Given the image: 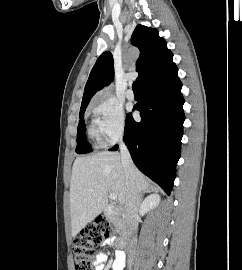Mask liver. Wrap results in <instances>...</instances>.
<instances>
[{
  "mask_svg": "<svg viewBox=\"0 0 242 270\" xmlns=\"http://www.w3.org/2000/svg\"><path fill=\"white\" fill-rule=\"evenodd\" d=\"M133 184L138 193L150 182L134 167ZM129 191L121 156L116 152H98L78 157L73 164L70 183L71 232L75 237L107 206L109 193H115L124 205Z\"/></svg>",
  "mask_w": 242,
  "mask_h": 270,
  "instance_id": "6515ba94",
  "label": "liver"
}]
</instances>
